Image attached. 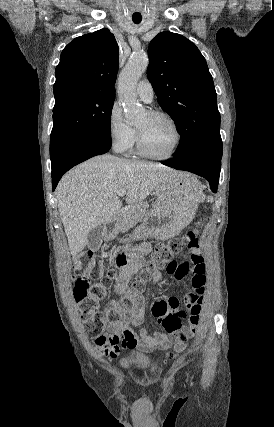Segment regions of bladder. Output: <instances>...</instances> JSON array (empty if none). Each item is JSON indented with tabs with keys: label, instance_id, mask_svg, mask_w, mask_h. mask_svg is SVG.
<instances>
[{
	"label": "bladder",
	"instance_id": "31cf9c89",
	"mask_svg": "<svg viewBox=\"0 0 274 427\" xmlns=\"http://www.w3.org/2000/svg\"><path fill=\"white\" fill-rule=\"evenodd\" d=\"M153 364V357L141 351L126 353L119 361L121 369L126 372L133 367L148 369Z\"/></svg>",
	"mask_w": 274,
	"mask_h": 427
}]
</instances>
